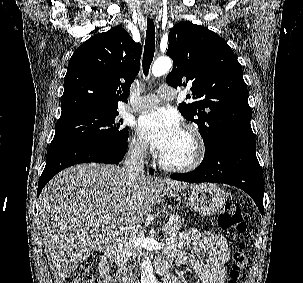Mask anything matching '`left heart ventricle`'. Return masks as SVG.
Returning <instances> with one entry per match:
<instances>
[{"mask_svg": "<svg viewBox=\"0 0 303 283\" xmlns=\"http://www.w3.org/2000/svg\"><path fill=\"white\" fill-rule=\"evenodd\" d=\"M194 153V145L192 140L183 131L173 145L165 152L164 158L174 164H182L188 162Z\"/></svg>", "mask_w": 303, "mask_h": 283, "instance_id": "left-heart-ventricle-1", "label": "left heart ventricle"}]
</instances>
